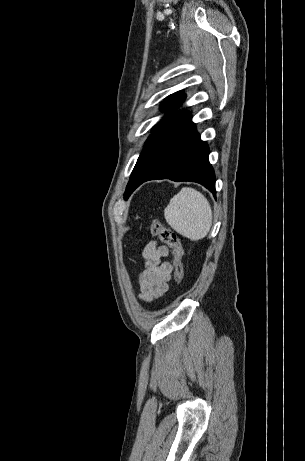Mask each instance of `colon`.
I'll use <instances>...</instances> for the list:
<instances>
[{
	"instance_id": "obj_1",
	"label": "colon",
	"mask_w": 305,
	"mask_h": 461,
	"mask_svg": "<svg viewBox=\"0 0 305 461\" xmlns=\"http://www.w3.org/2000/svg\"><path fill=\"white\" fill-rule=\"evenodd\" d=\"M150 231L152 235L158 236L164 244L172 249L175 281L180 284L184 279V249L178 235L158 221L151 223Z\"/></svg>"
}]
</instances>
